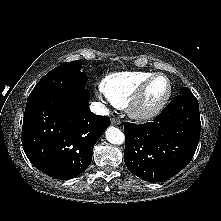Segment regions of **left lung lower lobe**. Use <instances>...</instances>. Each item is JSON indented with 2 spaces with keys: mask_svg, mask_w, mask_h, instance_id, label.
I'll return each mask as SVG.
<instances>
[{
  "mask_svg": "<svg viewBox=\"0 0 221 221\" xmlns=\"http://www.w3.org/2000/svg\"><path fill=\"white\" fill-rule=\"evenodd\" d=\"M199 105L193 94H180L154 119L126 123L124 161L134 175L163 181L192 159L200 138Z\"/></svg>",
  "mask_w": 221,
  "mask_h": 221,
  "instance_id": "1",
  "label": "left lung lower lobe"
}]
</instances>
